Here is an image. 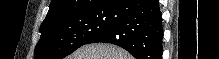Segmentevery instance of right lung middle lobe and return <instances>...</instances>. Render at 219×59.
<instances>
[{
    "mask_svg": "<svg viewBox=\"0 0 219 59\" xmlns=\"http://www.w3.org/2000/svg\"><path fill=\"white\" fill-rule=\"evenodd\" d=\"M116 21L114 9L55 18L42 23L35 59H63Z\"/></svg>",
    "mask_w": 219,
    "mask_h": 59,
    "instance_id": "1",
    "label": "right lung middle lobe"
}]
</instances>
